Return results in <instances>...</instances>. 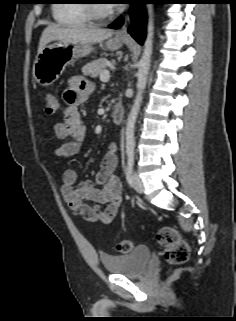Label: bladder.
<instances>
[{
  "mask_svg": "<svg viewBox=\"0 0 236 321\" xmlns=\"http://www.w3.org/2000/svg\"><path fill=\"white\" fill-rule=\"evenodd\" d=\"M151 258V251L146 245H138L123 255H102L101 262L105 270L114 275L128 277L139 276Z\"/></svg>",
  "mask_w": 236,
  "mask_h": 321,
  "instance_id": "obj_1",
  "label": "bladder"
}]
</instances>
